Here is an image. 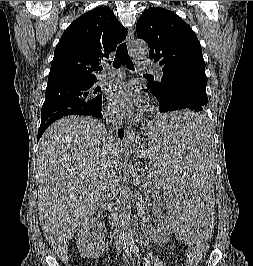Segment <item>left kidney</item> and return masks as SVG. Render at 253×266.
Masks as SVG:
<instances>
[{
  "instance_id": "left-kidney-1",
  "label": "left kidney",
  "mask_w": 253,
  "mask_h": 266,
  "mask_svg": "<svg viewBox=\"0 0 253 266\" xmlns=\"http://www.w3.org/2000/svg\"><path fill=\"white\" fill-rule=\"evenodd\" d=\"M162 218V229L160 231H156L151 229L149 231V235L152 240L155 242L167 241L171 234V226L165 216H161Z\"/></svg>"
}]
</instances>
